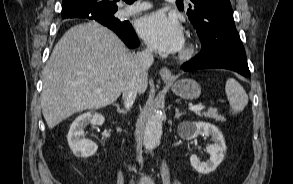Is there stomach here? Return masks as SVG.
Masks as SVG:
<instances>
[{
  "label": "stomach",
  "instance_id": "obj_1",
  "mask_svg": "<svg viewBox=\"0 0 293 184\" xmlns=\"http://www.w3.org/2000/svg\"><path fill=\"white\" fill-rule=\"evenodd\" d=\"M171 86L173 93L183 99L193 100L201 93L200 85L193 79H179L172 82Z\"/></svg>",
  "mask_w": 293,
  "mask_h": 184
}]
</instances>
